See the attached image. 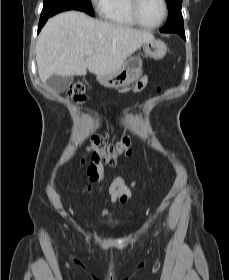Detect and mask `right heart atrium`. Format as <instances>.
I'll use <instances>...</instances> for the list:
<instances>
[{
    "mask_svg": "<svg viewBox=\"0 0 229 280\" xmlns=\"http://www.w3.org/2000/svg\"><path fill=\"white\" fill-rule=\"evenodd\" d=\"M90 1L94 10L99 14H103L110 0H90Z\"/></svg>",
    "mask_w": 229,
    "mask_h": 280,
    "instance_id": "obj_1",
    "label": "right heart atrium"
}]
</instances>
